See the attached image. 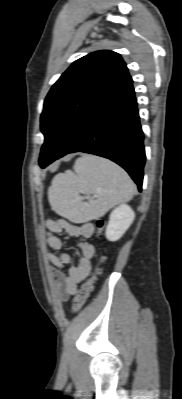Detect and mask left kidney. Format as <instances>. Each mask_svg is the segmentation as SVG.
<instances>
[{"instance_id": "left-kidney-1", "label": "left kidney", "mask_w": 182, "mask_h": 399, "mask_svg": "<svg viewBox=\"0 0 182 399\" xmlns=\"http://www.w3.org/2000/svg\"><path fill=\"white\" fill-rule=\"evenodd\" d=\"M135 218V213L127 204H121L116 207L109 216V222L106 227L105 236L111 241L119 240L128 230Z\"/></svg>"}]
</instances>
